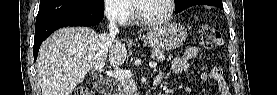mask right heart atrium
Returning a JSON list of instances; mask_svg holds the SVG:
<instances>
[{
  "label": "right heart atrium",
  "mask_w": 277,
  "mask_h": 95,
  "mask_svg": "<svg viewBox=\"0 0 277 95\" xmlns=\"http://www.w3.org/2000/svg\"><path fill=\"white\" fill-rule=\"evenodd\" d=\"M103 8L107 18L119 24L127 22L131 16V9L126 0H104Z\"/></svg>",
  "instance_id": "right-heart-atrium-1"
}]
</instances>
